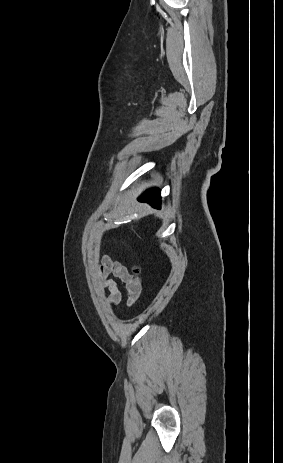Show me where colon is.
Masks as SVG:
<instances>
[{
    "mask_svg": "<svg viewBox=\"0 0 283 463\" xmlns=\"http://www.w3.org/2000/svg\"><path fill=\"white\" fill-rule=\"evenodd\" d=\"M134 272H135L136 274H138V271H137V270H135Z\"/></svg>",
    "mask_w": 283,
    "mask_h": 463,
    "instance_id": "5ec220e1",
    "label": "colon"
}]
</instances>
